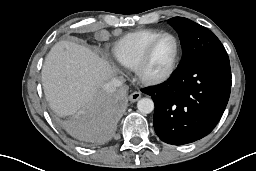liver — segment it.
Listing matches in <instances>:
<instances>
[{"instance_id": "6515ba94", "label": "liver", "mask_w": 256, "mask_h": 171, "mask_svg": "<svg viewBox=\"0 0 256 171\" xmlns=\"http://www.w3.org/2000/svg\"><path fill=\"white\" fill-rule=\"evenodd\" d=\"M114 70L90 49L70 41L56 43L45 58L42 85L59 116L82 112L101 99V88Z\"/></svg>"}]
</instances>
